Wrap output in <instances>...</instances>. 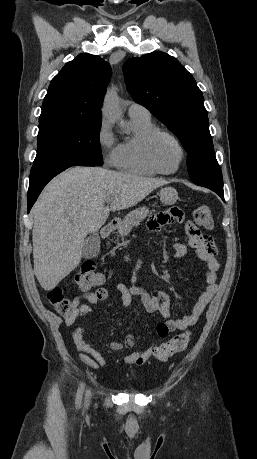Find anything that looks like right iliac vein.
Here are the masks:
<instances>
[{"mask_svg":"<svg viewBox=\"0 0 257 459\" xmlns=\"http://www.w3.org/2000/svg\"><path fill=\"white\" fill-rule=\"evenodd\" d=\"M91 399V392L88 390L85 395V403L88 404Z\"/></svg>","mask_w":257,"mask_h":459,"instance_id":"obj_1","label":"right iliac vein"}]
</instances>
